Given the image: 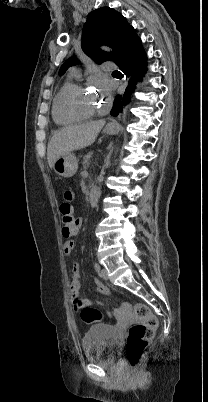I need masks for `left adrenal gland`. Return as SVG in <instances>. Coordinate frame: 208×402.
Masks as SVG:
<instances>
[{
  "label": "left adrenal gland",
  "mask_w": 208,
  "mask_h": 402,
  "mask_svg": "<svg viewBox=\"0 0 208 402\" xmlns=\"http://www.w3.org/2000/svg\"><path fill=\"white\" fill-rule=\"evenodd\" d=\"M112 152H113V148H111V150H110V152H109V154H108V156H107V158L105 160L104 168H109V166H110V158H111Z\"/></svg>",
  "instance_id": "a2214340"
}]
</instances>
